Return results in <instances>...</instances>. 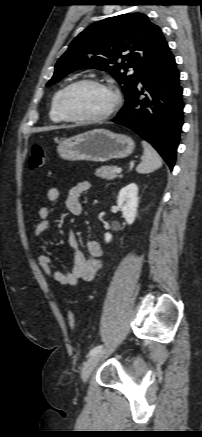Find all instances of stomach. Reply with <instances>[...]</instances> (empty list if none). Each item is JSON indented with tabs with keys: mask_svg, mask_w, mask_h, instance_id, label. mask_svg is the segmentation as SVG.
<instances>
[{
	"mask_svg": "<svg viewBox=\"0 0 202 437\" xmlns=\"http://www.w3.org/2000/svg\"><path fill=\"white\" fill-rule=\"evenodd\" d=\"M134 141L124 134L94 129L59 142L57 152L64 160L107 162L132 154Z\"/></svg>",
	"mask_w": 202,
	"mask_h": 437,
	"instance_id": "stomach-1",
	"label": "stomach"
}]
</instances>
